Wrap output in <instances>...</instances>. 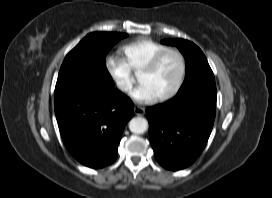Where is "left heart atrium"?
Masks as SVG:
<instances>
[{
  "label": "left heart atrium",
  "instance_id": "left-heart-atrium-1",
  "mask_svg": "<svg viewBox=\"0 0 272 198\" xmlns=\"http://www.w3.org/2000/svg\"><path fill=\"white\" fill-rule=\"evenodd\" d=\"M130 96L137 102L147 103L154 100L156 97L148 85L140 83L132 90Z\"/></svg>",
  "mask_w": 272,
  "mask_h": 198
}]
</instances>
